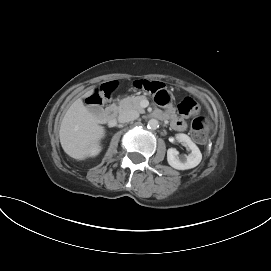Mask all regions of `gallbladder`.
Returning <instances> with one entry per match:
<instances>
[{"label":"gallbladder","instance_id":"bac80fb5","mask_svg":"<svg viewBox=\"0 0 271 271\" xmlns=\"http://www.w3.org/2000/svg\"><path fill=\"white\" fill-rule=\"evenodd\" d=\"M98 120L104 118V111L99 106H91L88 109Z\"/></svg>","mask_w":271,"mask_h":271}]
</instances>
